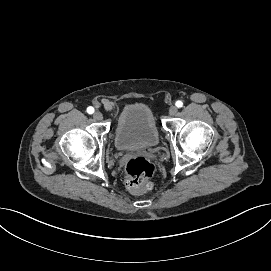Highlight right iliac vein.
Instances as JSON below:
<instances>
[{
	"label": "right iliac vein",
	"mask_w": 271,
	"mask_h": 271,
	"mask_svg": "<svg viewBox=\"0 0 271 271\" xmlns=\"http://www.w3.org/2000/svg\"><path fill=\"white\" fill-rule=\"evenodd\" d=\"M93 118H94L95 120H98V121L101 120V119L103 118L102 113L99 112V111L94 112V113H93Z\"/></svg>",
	"instance_id": "1"
}]
</instances>
